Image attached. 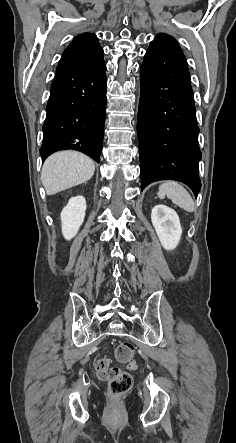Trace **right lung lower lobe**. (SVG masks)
<instances>
[{"label": "right lung lower lobe", "instance_id": "98d812e1", "mask_svg": "<svg viewBox=\"0 0 236 443\" xmlns=\"http://www.w3.org/2000/svg\"><path fill=\"white\" fill-rule=\"evenodd\" d=\"M106 65H58L43 125L42 161L73 149L100 162L106 110Z\"/></svg>", "mask_w": 236, "mask_h": 443}]
</instances>
